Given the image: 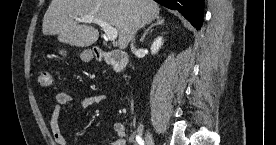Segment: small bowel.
<instances>
[{
  "label": "small bowel",
  "instance_id": "c3829d8e",
  "mask_svg": "<svg viewBox=\"0 0 276 145\" xmlns=\"http://www.w3.org/2000/svg\"><path fill=\"white\" fill-rule=\"evenodd\" d=\"M74 96L69 92H61L56 95L55 104L51 111L50 127L53 138L57 145H67V140L60 126V116L65 105L74 101ZM106 101V97L101 94L89 95L78 101L77 105L80 108H88L95 104H102ZM116 139L113 145H127L125 139V128L122 122H116L113 126Z\"/></svg>",
  "mask_w": 276,
  "mask_h": 145
}]
</instances>
